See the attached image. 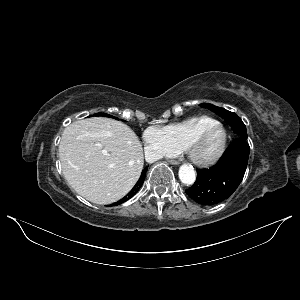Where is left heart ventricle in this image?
<instances>
[{
    "label": "left heart ventricle",
    "mask_w": 300,
    "mask_h": 300,
    "mask_svg": "<svg viewBox=\"0 0 300 300\" xmlns=\"http://www.w3.org/2000/svg\"><path fill=\"white\" fill-rule=\"evenodd\" d=\"M219 136V131H215L208 136L200 145L198 149V155L201 157L209 156L215 150L219 141Z\"/></svg>",
    "instance_id": "1"
}]
</instances>
